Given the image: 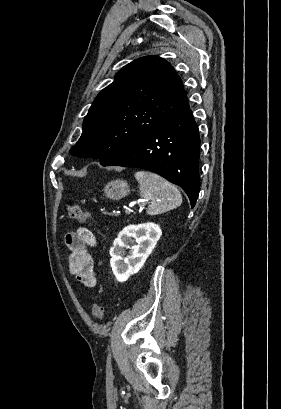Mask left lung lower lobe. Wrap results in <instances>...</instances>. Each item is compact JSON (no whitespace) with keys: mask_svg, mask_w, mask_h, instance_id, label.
I'll use <instances>...</instances> for the list:
<instances>
[{"mask_svg":"<svg viewBox=\"0 0 281 409\" xmlns=\"http://www.w3.org/2000/svg\"><path fill=\"white\" fill-rule=\"evenodd\" d=\"M200 137L188 102L105 166L138 167L179 185L195 206L200 190Z\"/></svg>","mask_w":281,"mask_h":409,"instance_id":"1","label":"left lung lower lobe"}]
</instances>
